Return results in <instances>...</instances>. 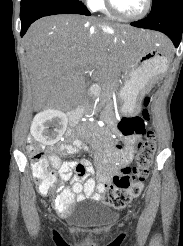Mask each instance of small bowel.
Masks as SVG:
<instances>
[{
    "label": "small bowel",
    "instance_id": "c3829d8e",
    "mask_svg": "<svg viewBox=\"0 0 183 246\" xmlns=\"http://www.w3.org/2000/svg\"><path fill=\"white\" fill-rule=\"evenodd\" d=\"M83 138L87 140L95 149V160L98 168V179L94 176V169L89 159L83 158L80 163L76 161L62 162L60 158L50 152V163L58 170L63 180L71 182V189H63L59 195L69 198L74 204L86 199L99 200L101 193L107 186V181L115 175L117 168L124 167L130 163L134 157L135 145L141 139V134L125 136L121 134L124 148L117 151L113 143V134L108 130L83 131ZM67 154H74L80 150H88V146L81 139H75L71 144H62L58 148ZM76 171V173H71ZM48 195L49 192L41 191ZM72 207L64 211H58L61 216H67Z\"/></svg>",
    "mask_w": 183,
    "mask_h": 246
}]
</instances>
